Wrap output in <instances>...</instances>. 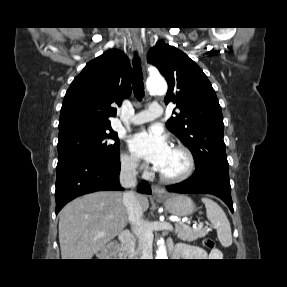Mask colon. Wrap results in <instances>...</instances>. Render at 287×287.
<instances>
[{"label": "colon", "instance_id": "5ec220e1", "mask_svg": "<svg viewBox=\"0 0 287 287\" xmlns=\"http://www.w3.org/2000/svg\"><path fill=\"white\" fill-rule=\"evenodd\" d=\"M202 244L204 247L208 248V249H213L215 247V243L214 240L212 238L206 237L202 240ZM111 251L114 252L115 248L112 247Z\"/></svg>", "mask_w": 287, "mask_h": 287}]
</instances>
